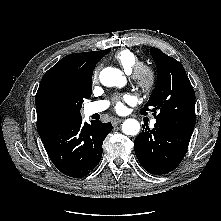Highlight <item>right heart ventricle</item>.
<instances>
[{"label": "right heart ventricle", "instance_id": "obj_1", "mask_svg": "<svg viewBox=\"0 0 221 221\" xmlns=\"http://www.w3.org/2000/svg\"><path fill=\"white\" fill-rule=\"evenodd\" d=\"M114 59L126 73H131L135 64L139 62L137 55L126 48L118 50L114 55Z\"/></svg>", "mask_w": 221, "mask_h": 221}]
</instances>
